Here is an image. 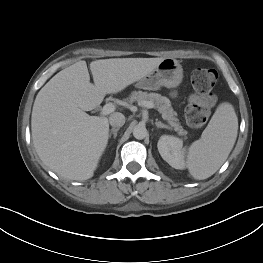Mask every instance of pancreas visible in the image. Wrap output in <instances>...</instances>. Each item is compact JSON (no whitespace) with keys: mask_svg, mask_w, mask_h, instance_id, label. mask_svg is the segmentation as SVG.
Returning a JSON list of instances; mask_svg holds the SVG:
<instances>
[{"mask_svg":"<svg viewBox=\"0 0 263 263\" xmlns=\"http://www.w3.org/2000/svg\"><path fill=\"white\" fill-rule=\"evenodd\" d=\"M138 102L141 104L144 101H151L156 104L158 111L162 114V118L168 122L170 129H174L178 135L186 136L187 131L179 123L176 117L177 113L173 110L170 100L158 93H147L143 91H134L129 97V102Z\"/></svg>","mask_w":263,"mask_h":263,"instance_id":"obj_1","label":"pancreas"}]
</instances>
